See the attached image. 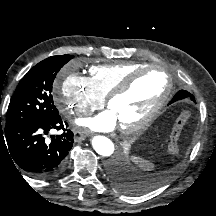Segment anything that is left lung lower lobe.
<instances>
[{
  "instance_id": "0a47b994",
  "label": "left lung lower lobe",
  "mask_w": 216,
  "mask_h": 216,
  "mask_svg": "<svg viewBox=\"0 0 216 216\" xmlns=\"http://www.w3.org/2000/svg\"><path fill=\"white\" fill-rule=\"evenodd\" d=\"M180 91L176 93L170 104L186 97H190V95L181 93ZM109 173L112 181L120 190L126 193L132 192L134 189L133 178L130 174L124 171L123 166L120 163L114 162L109 168Z\"/></svg>"
}]
</instances>
